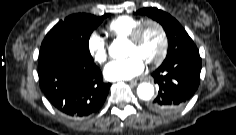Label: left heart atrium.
I'll return each instance as SVG.
<instances>
[{"mask_svg":"<svg viewBox=\"0 0 236 135\" xmlns=\"http://www.w3.org/2000/svg\"><path fill=\"white\" fill-rule=\"evenodd\" d=\"M144 70V60L137 54L124 59L113 60L104 68V76L111 81L128 80Z\"/></svg>","mask_w":236,"mask_h":135,"instance_id":"1","label":"left heart atrium"}]
</instances>
